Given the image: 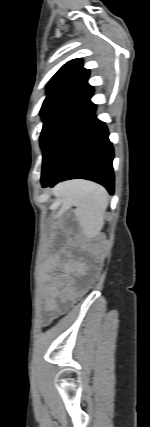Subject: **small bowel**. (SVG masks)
<instances>
[{
    "label": "small bowel",
    "mask_w": 150,
    "mask_h": 427,
    "mask_svg": "<svg viewBox=\"0 0 150 427\" xmlns=\"http://www.w3.org/2000/svg\"><path fill=\"white\" fill-rule=\"evenodd\" d=\"M66 269H69L68 267ZM66 279L64 276L56 275L50 269L44 272V285H43V301L44 312L43 322L48 323L57 315L64 312L71 301H73L80 289H82L86 282H81L79 285L69 284L65 289H61L65 285Z\"/></svg>",
    "instance_id": "obj_1"
}]
</instances>
